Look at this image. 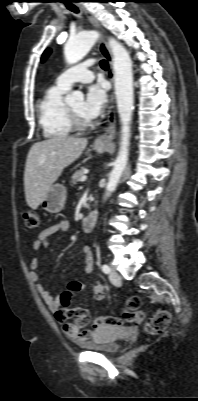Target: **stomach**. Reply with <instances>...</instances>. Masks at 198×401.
Masks as SVG:
<instances>
[{"instance_id": "obj_1", "label": "stomach", "mask_w": 198, "mask_h": 401, "mask_svg": "<svg viewBox=\"0 0 198 401\" xmlns=\"http://www.w3.org/2000/svg\"><path fill=\"white\" fill-rule=\"evenodd\" d=\"M107 144L94 143L93 148L97 152H104ZM67 191L62 184H54L50 187L47 195L40 203L42 208L49 213L60 212L66 202Z\"/></svg>"}]
</instances>
